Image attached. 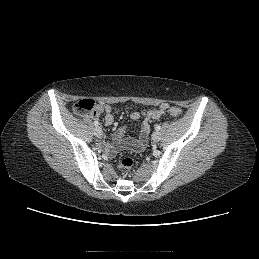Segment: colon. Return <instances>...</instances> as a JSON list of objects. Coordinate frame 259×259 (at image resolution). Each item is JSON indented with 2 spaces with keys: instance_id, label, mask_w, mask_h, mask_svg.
Wrapping results in <instances>:
<instances>
[{
  "instance_id": "obj_1",
  "label": "colon",
  "mask_w": 259,
  "mask_h": 259,
  "mask_svg": "<svg viewBox=\"0 0 259 259\" xmlns=\"http://www.w3.org/2000/svg\"><path fill=\"white\" fill-rule=\"evenodd\" d=\"M99 106L93 99H82L75 103L73 110L75 113L80 115H96L98 112ZM167 112L173 117H181L183 112L178 107H170L167 109ZM133 160L130 157L123 158L119 163V169L125 173H129L133 168Z\"/></svg>"
}]
</instances>
